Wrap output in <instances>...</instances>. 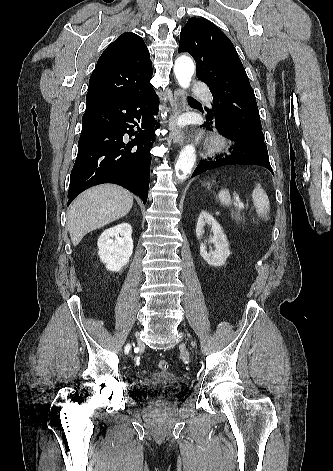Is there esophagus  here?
<instances>
[{
  "instance_id": "obj_1",
  "label": "esophagus",
  "mask_w": 333,
  "mask_h": 471,
  "mask_svg": "<svg viewBox=\"0 0 333 471\" xmlns=\"http://www.w3.org/2000/svg\"><path fill=\"white\" fill-rule=\"evenodd\" d=\"M185 111L184 92L181 89L174 90V110L169 118L170 138L176 145H182L185 139L183 130L177 125V118Z\"/></svg>"
}]
</instances>
